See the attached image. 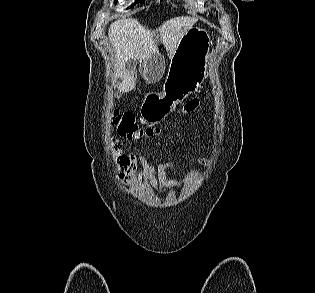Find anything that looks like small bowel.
<instances>
[{
  "mask_svg": "<svg viewBox=\"0 0 315 293\" xmlns=\"http://www.w3.org/2000/svg\"><path fill=\"white\" fill-rule=\"evenodd\" d=\"M140 161L143 166V184L150 185L158 193L174 190L180 186V181L166 176V169L175 165L174 161L162 162L157 168L151 165L149 157L146 155H142ZM198 161L201 163L205 162L203 158H198Z\"/></svg>",
  "mask_w": 315,
  "mask_h": 293,
  "instance_id": "1",
  "label": "small bowel"
}]
</instances>
